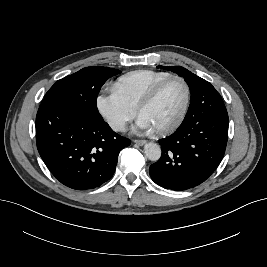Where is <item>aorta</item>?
<instances>
[{
	"mask_svg": "<svg viewBox=\"0 0 267 267\" xmlns=\"http://www.w3.org/2000/svg\"><path fill=\"white\" fill-rule=\"evenodd\" d=\"M144 151L146 157L151 161H158L161 157V148L156 143L149 142L145 144Z\"/></svg>",
	"mask_w": 267,
	"mask_h": 267,
	"instance_id": "1",
	"label": "aorta"
}]
</instances>
